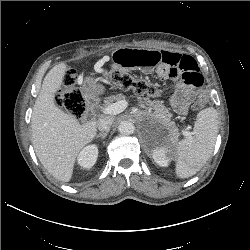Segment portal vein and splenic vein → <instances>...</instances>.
I'll list each match as a JSON object with an SVG mask.
<instances>
[{"label":"portal vein and splenic vein","instance_id":"obj_1","mask_svg":"<svg viewBox=\"0 0 250 250\" xmlns=\"http://www.w3.org/2000/svg\"><path fill=\"white\" fill-rule=\"evenodd\" d=\"M128 105V102L126 100H119L115 103L110 104L109 106L103 108L102 112L103 114L106 115H117L121 112H123L126 107ZM182 134L184 136H190V132L188 131V129H183L182 130Z\"/></svg>","mask_w":250,"mask_h":250}]
</instances>
